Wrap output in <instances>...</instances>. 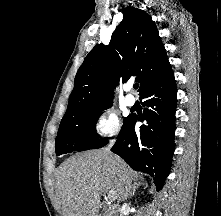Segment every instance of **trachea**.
<instances>
[{"instance_id":"3493384b","label":"trachea","mask_w":221,"mask_h":216,"mask_svg":"<svg viewBox=\"0 0 221 216\" xmlns=\"http://www.w3.org/2000/svg\"><path fill=\"white\" fill-rule=\"evenodd\" d=\"M133 87H134V89H138L139 84H137V83H136V84H134V86H133Z\"/></svg>"}]
</instances>
